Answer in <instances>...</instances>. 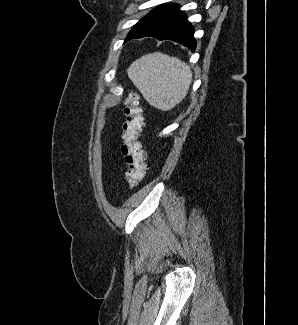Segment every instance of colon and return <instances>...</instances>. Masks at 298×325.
<instances>
[{
  "label": "colon",
  "mask_w": 298,
  "mask_h": 325,
  "mask_svg": "<svg viewBox=\"0 0 298 325\" xmlns=\"http://www.w3.org/2000/svg\"><path fill=\"white\" fill-rule=\"evenodd\" d=\"M124 116L121 153L127 166V185L134 188L145 178L148 171L147 153L139 140L144 125L143 108L136 94H130L124 100Z\"/></svg>",
  "instance_id": "5ec220e1"
}]
</instances>
